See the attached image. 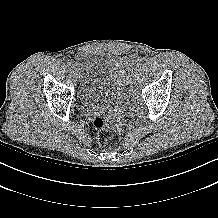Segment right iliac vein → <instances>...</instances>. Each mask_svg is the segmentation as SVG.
<instances>
[{
    "label": "right iliac vein",
    "mask_w": 218,
    "mask_h": 218,
    "mask_svg": "<svg viewBox=\"0 0 218 218\" xmlns=\"http://www.w3.org/2000/svg\"><path fill=\"white\" fill-rule=\"evenodd\" d=\"M72 72L74 73L75 77H78V73H77V69L75 67V65L72 67Z\"/></svg>",
    "instance_id": "63e3f726"
}]
</instances>
